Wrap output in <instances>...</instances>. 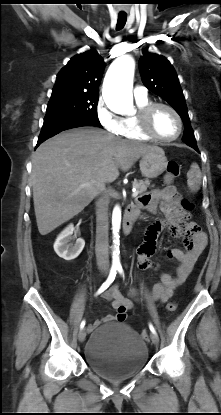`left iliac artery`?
Instances as JSON below:
<instances>
[{
	"label": "left iliac artery",
	"mask_w": 221,
	"mask_h": 415,
	"mask_svg": "<svg viewBox=\"0 0 221 415\" xmlns=\"http://www.w3.org/2000/svg\"><path fill=\"white\" fill-rule=\"evenodd\" d=\"M117 270H118V272H119L120 274H123V269H122V266H118V267H117ZM149 329H150V331H151L152 333H155V334H156V330H155L154 326H153L151 323L149 324Z\"/></svg>",
	"instance_id": "1"
}]
</instances>
